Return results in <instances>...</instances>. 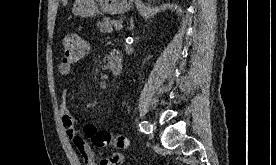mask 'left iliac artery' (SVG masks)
<instances>
[{
    "mask_svg": "<svg viewBox=\"0 0 276 165\" xmlns=\"http://www.w3.org/2000/svg\"><path fill=\"white\" fill-rule=\"evenodd\" d=\"M140 130L146 134H150L153 130V126L148 121H142L140 123Z\"/></svg>",
    "mask_w": 276,
    "mask_h": 165,
    "instance_id": "left-iliac-artery-1",
    "label": "left iliac artery"
}]
</instances>
